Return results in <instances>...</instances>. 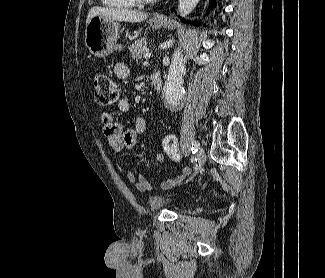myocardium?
<instances>
[{
    "label": "myocardium",
    "instance_id": "obj_1",
    "mask_svg": "<svg viewBox=\"0 0 325 278\" xmlns=\"http://www.w3.org/2000/svg\"><path fill=\"white\" fill-rule=\"evenodd\" d=\"M134 1L139 4H149L155 2L156 0H134Z\"/></svg>",
    "mask_w": 325,
    "mask_h": 278
}]
</instances>
